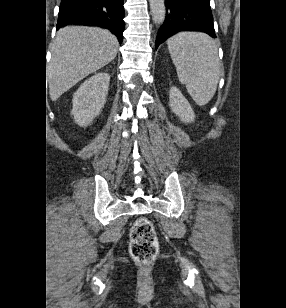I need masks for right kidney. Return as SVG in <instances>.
I'll list each match as a JSON object with an SVG mask.
<instances>
[{"mask_svg": "<svg viewBox=\"0 0 286 308\" xmlns=\"http://www.w3.org/2000/svg\"><path fill=\"white\" fill-rule=\"evenodd\" d=\"M110 76L97 73L87 79L74 93L71 115L79 126H88L104 107Z\"/></svg>", "mask_w": 286, "mask_h": 308, "instance_id": "obj_1", "label": "right kidney"}]
</instances>
